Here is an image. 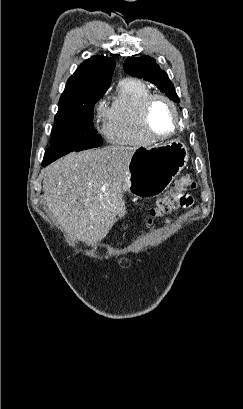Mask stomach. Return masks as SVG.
<instances>
[{"label":"stomach","mask_w":243,"mask_h":409,"mask_svg":"<svg viewBox=\"0 0 243 409\" xmlns=\"http://www.w3.org/2000/svg\"><path fill=\"white\" fill-rule=\"evenodd\" d=\"M187 161V147L179 140L136 149L122 188L137 197L157 195L169 187Z\"/></svg>","instance_id":"obj_1"}]
</instances>
